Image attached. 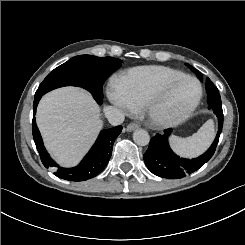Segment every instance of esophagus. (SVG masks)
<instances>
[{"mask_svg":"<svg viewBox=\"0 0 245 245\" xmlns=\"http://www.w3.org/2000/svg\"><path fill=\"white\" fill-rule=\"evenodd\" d=\"M139 127V125L137 123H129L126 127V131L128 132H132L135 129H137Z\"/></svg>","mask_w":245,"mask_h":245,"instance_id":"34e87169","label":"esophagus"}]
</instances>
